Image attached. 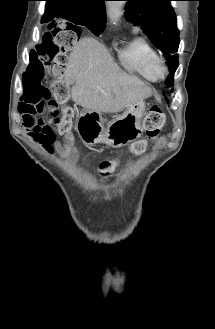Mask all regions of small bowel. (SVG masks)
<instances>
[{"mask_svg":"<svg viewBox=\"0 0 215 329\" xmlns=\"http://www.w3.org/2000/svg\"><path fill=\"white\" fill-rule=\"evenodd\" d=\"M23 124L27 129L29 137L41 144L47 151H50L53 145L57 143L52 129L47 130V125L40 123L35 117L23 116Z\"/></svg>","mask_w":215,"mask_h":329,"instance_id":"c3829d8e","label":"small bowel"}]
</instances>
